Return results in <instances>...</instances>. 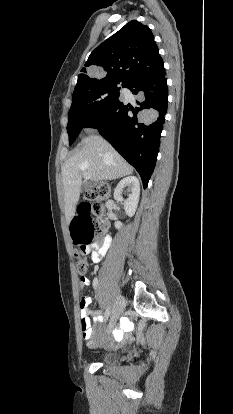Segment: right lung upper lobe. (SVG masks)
I'll return each instance as SVG.
<instances>
[{
	"instance_id": "cb5924a9",
	"label": "right lung upper lobe",
	"mask_w": 233,
	"mask_h": 414,
	"mask_svg": "<svg viewBox=\"0 0 233 414\" xmlns=\"http://www.w3.org/2000/svg\"><path fill=\"white\" fill-rule=\"evenodd\" d=\"M92 66L98 76L92 78L87 72ZM164 69L154 36L148 26L132 20L105 40L90 54L78 81L74 94L101 82L120 81L150 76Z\"/></svg>"
}]
</instances>
